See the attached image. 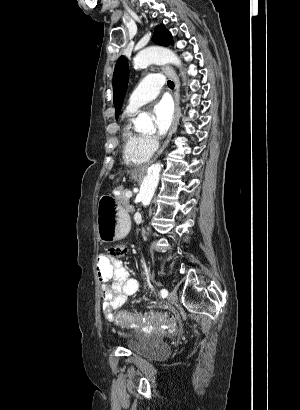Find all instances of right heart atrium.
<instances>
[{"label":"right heart atrium","instance_id":"obj_1","mask_svg":"<svg viewBox=\"0 0 300 410\" xmlns=\"http://www.w3.org/2000/svg\"><path fill=\"white\" fill-rule=\"evenodd\" d=\"M144 141H145L146 147L149 150L153 151L155 149L157 144H156V141L152 137L147 136V137L144 138Z\"/></svg>","mask_w":300,"mask_h":410}]
</instances>
